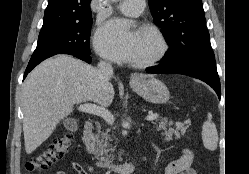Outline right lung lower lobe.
<instances>
[{
  "label": "right lung lower lobe",
  "instance_id": "98d812e1",
  "mask_svg": "<svg viewBox=\"0 0 249 174\" xmlns=\"http://www.w3.org/2000/svg\"><path fill=\"white\" fill-rule=\"evenodd\" d=\"M66 54H69V55H73L87 63H91L92 59L90 57V54H80V53H66ZM53 55H50V56H46V57H43L35 62H29L28 64V67L26 68V71H25V74H24V79L25 77L27 76V74L36 66L38 65L41 61L51 57Z\"/></svg>",
  "mask_w": 249,
  "mask_h": 174
}]
</instances>
